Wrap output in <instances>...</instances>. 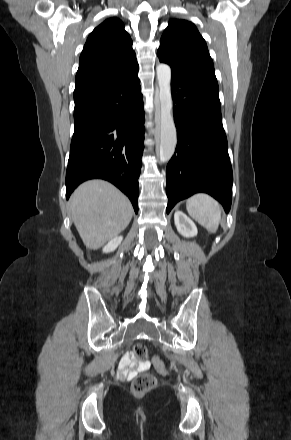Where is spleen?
Instances as JSON below:
<instances>
[{
    "instance_id": "3e777b00",
    "label": "spleen",
    "mask_w": 291,
    "mask_h": 440,
    "mask_svg": "<svg viewBox=\"0 0 291 440\" xmlns=\"http://www.w3.org/2000/svg\"><path fill=\"white\" fill-rule=\"evenodd\" d=\"M186 208L189 215L209 232L217 231L221 220V208L211 196L197 193L187 200Z\"/></svg>"
}]
</instances>
